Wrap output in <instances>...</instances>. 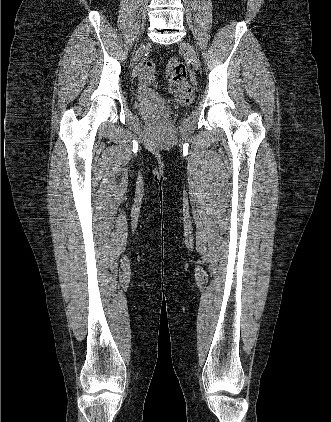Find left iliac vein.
Instances as JSON below:
<instances>
[{
    "instance_id": "obj_1",
    "label": "left iliac vein",
    "mask_w": 331,
    "mask_h": 422,
    "mask_svg": "<svg viewBox=\"0 0 331 422\" xmlns=\"http://www.w3.org/2000/svg\"><path fill=\"white\" fill-rule=\"evenodd\" d=\"M180 47L185 51L187 57L190 59L193 67L195 69H198L199 67V59L197 57V54L193 48V46L188 42H183L180 44Z\"/></svg>"
}]
</instances>
